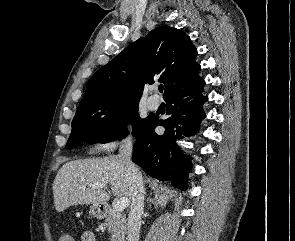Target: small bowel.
Here are the masks:
<instances>
[{
    "label": "small bowel",
    "instance_id": "small-bowel-1",
    "mask_svg": "<svg viewBox=\"0 0 295 241\" xmlns=\"http://www.w3.org/2000/svg\"><path fill=\"white\" fill-rule=\"evenodd\" d=\"M82 241H96L95 235L91 231H85L81 237ZM59 241H63V237L61 236Z\"/></svg>",
    "mask_w": 295,
    "mask_h": 241
}]
</instances>
